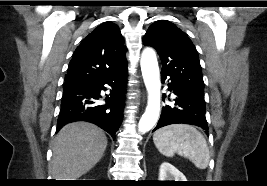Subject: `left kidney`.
<instances>
[{
    "instance_id": "left-kidney-1",
    "label": "left kidney",
    "mask_w": 267,
    "mask_h": 186,
    "mask_svg": "<svg viewBox=\"0 0 267 186\" xmlns=\"http://www.w3.org/2000/svg\"><path fill=\"white\" fill-rule=\"evenodd\" d=\"M159 181H186V178L173 165L164 162L159 169Z\"/></svg>"
}]
</instances>
